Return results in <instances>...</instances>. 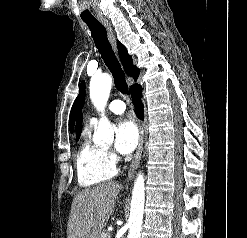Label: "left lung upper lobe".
Masks as SVG:
<instances>
[{
    "label": "left lung upper lobe",
    "instance_id": "1",
    "mask_svg": "<svg viewBox=\"0 0 247 238\" xmlns=\"http://www.w3.org/2000/svg\"><path fill=\"white\" fill-rule=\"evenodd\" d=\"M84 93H85V83L82 82L80 86L79 95L74 101V104L72 106L71 113H70L69 128L71 132H73V125H74L76 116L84 105Z\"/></svg>",
    "mask_w": 247,
    "mask_h": 238
}]
</instances>
